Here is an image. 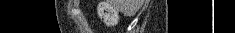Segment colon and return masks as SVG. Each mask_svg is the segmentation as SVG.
<instances>
[{
  "instance_id": "1",
  "label": "colon",
  "mask_w": 235,
  "mask_h": 33,
  "mask_svg": "<svg viewBox=\"0 0 235 33\" xmlns=\"http://www.w3.org/2000/svg\"><path fill=\"white\" fill-rule=\"evenodd\" d=\"M99 16L109 25L115 24L118 18L117 12L105 2L99 6Z\"/></svg>"
}]
</instances>
